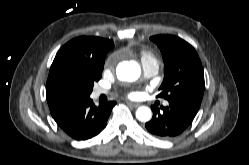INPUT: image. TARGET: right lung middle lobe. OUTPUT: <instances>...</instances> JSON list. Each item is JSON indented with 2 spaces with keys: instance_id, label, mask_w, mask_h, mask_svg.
Here are the masks:
<instances>
[{
  "instance_id": "1",
  "label": "right lung middle lobe",
  "mask_w": 249,
  "mask_h": 165,
  "mask_svg": "<svg viewBox=\"0 0 249 165\" xmlns=\"http://www.w3.org/2000/svg\"><path fill=\"white\" fill-rule=\"evenodd\" d=\"M101 75L102 69H96L91 66L84 67L76 72L82 87V97H88L91 94L94 82L98 81Z\"/></svg>"
}]
</instances>
